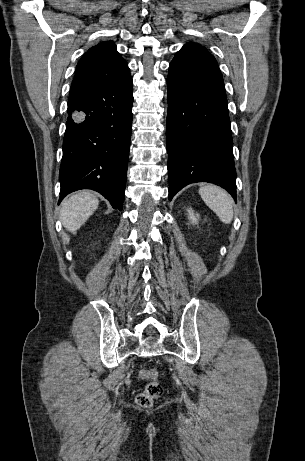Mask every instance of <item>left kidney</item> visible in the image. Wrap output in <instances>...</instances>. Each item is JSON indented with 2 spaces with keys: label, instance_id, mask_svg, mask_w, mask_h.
Returning a JSON list of instances; mask_svg holds the SVG:
<instances>
[{
  "label": "left kidney",
  "instance_id": "obj_1",
  "mask_svg": "<svg viewBox=\"0 0 305 461\" xmlns=\"http://www.w3.org/2000/svg\"><path fill=\"white\" fill-rule=\"evenodd\" d=\"M188 214H189V219L192 221L193 224H196L198 222L199 215L194 214L191 208L188 209Z\"/></svg>",
  "mask_w": 305,
  "mask_h": 461
}]
</instances>
